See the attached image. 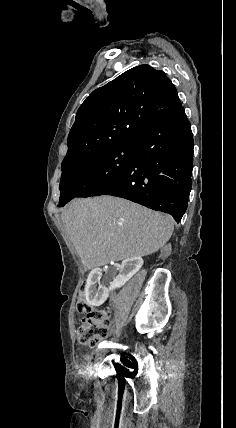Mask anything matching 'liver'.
Segmentation results:
<instances>
[{
  "label": "liver",
  "mask_w": 236,
  "mask_h": 428,
  "mask_svg": "<svg viewBox=\"0 0 236 428\" xmlns=\"http://www.w3.org/2000/svg\"><path fill=\"white\" fill-rule=\"evenodd\" d=\"M85 270L131 256H150L172 236L171 216L113 196L76 198L61 216Z\"/></svg>",
  "instance_id": "6515ba94"
}]
</instances>
